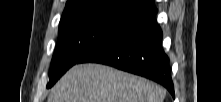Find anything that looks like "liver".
<instances>
[{"mask_svg": "<svg viewBox=\"0 0 221 102\" xmlns=\"http://www.w3.org/2000/svg\"><path fill=\"white\" fill-rule=\"evenodd\" d=\"M165 90L109 66L72 67L52 88L47 102H163Z\"/></svg>", "mask_w": 221, "mask_h": 102, "instance_id": "obj_1", "label": "liver"}]
</instances>
